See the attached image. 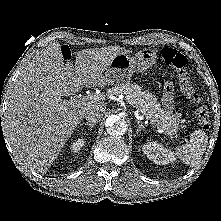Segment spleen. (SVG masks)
<instances>
[{
	"mask_svg": "<svg viewBox=\"0 0 221 221\" xmlns=\"http://www.w3.org/2000/svg\"><path fill=\"white\" fill-rule=\"evenodd\" d=\"M207 143V134L203 130H195L189 142L178 147L175 154L184 164L193 167L201 161Z\"/></svg>",
	"mask_w": 221,
	"mask_h": 221,
	"instance_id": "3e777b00",
	"label": "spleen"
}]
</instances>
